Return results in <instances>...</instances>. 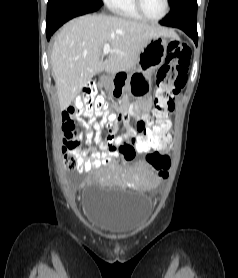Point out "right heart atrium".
<instances>
[{"mask_svg":"<svg viewBox=\"0 0 238 278\" xmlns=\"http://www.w3.org/2000/svg\"><path fill=\"white\" fill-rule=\"evenodd\" d=\"M105 3H106V5H110V3L113 1V0H103Z\"/></svg>","mask_w":238,"mask_h":278,"instance_id":"obj_1","label":"right heart atrium"}]
</instances>
